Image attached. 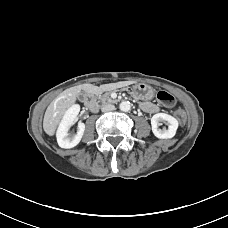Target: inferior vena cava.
Here are the masks:
<instances>
[{"instance_id": "obj_1", "label": "inferior vena cava", "mask_w": 228, "mask_h": 228, "mask_svg": "<svg viewBox=\"0 0 228 228\" xmlns=\"http://www.w3.org/2000/svg\"><path fill=\"white\" fill-rule=\"evenodd\" d=\"M114 109H115V106L113 104H105L102 106L101 111L109 112V111H113Z\"/></svg>"}]
</instances>
